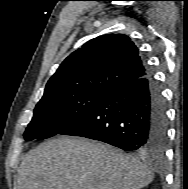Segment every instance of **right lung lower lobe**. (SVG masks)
<instances>
[{"mask_svg":"<svg viewBox=\"0 0 188 189\" xmlns=\"http://www.w3.org/2000/svg\"><path fill=\"white\" fill-rule=\"evenodd\" d=\"M146 74L106 95L87 115L60 134L99 140L126 151L162 154L167 117L160 88Z\"/></svg>","mask_w":188,"mask_h":189,"instance_id":"1","label":"right lung lower lobe"}]
</instances>
